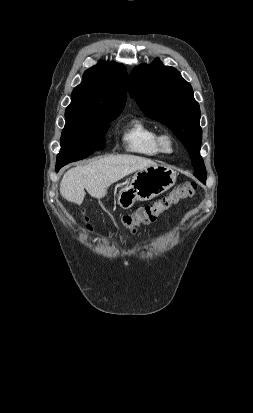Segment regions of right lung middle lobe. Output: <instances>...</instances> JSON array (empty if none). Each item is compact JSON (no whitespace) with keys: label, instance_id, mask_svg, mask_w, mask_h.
Masks as SVG:
<instances>
[{"label":"right lung middle lobe","instance_id":"obj_1","mask_svg":"<svg viewBox=\"0 0 253 413\" xmlns=\"http://www.w3.org/2000/svg\"><path fill=\"white\" fill-rule=\"evenodd\" d=\"M119 114L99 115L91 119L66 121L61 135V150L56 166L81 160L106 146L105 133L108 122Z\"/></svg>","mask_w":253,"mask_h":413}]
</instances>
